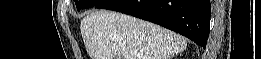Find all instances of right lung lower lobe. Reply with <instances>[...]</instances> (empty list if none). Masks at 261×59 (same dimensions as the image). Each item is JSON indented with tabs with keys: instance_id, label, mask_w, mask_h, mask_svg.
Returning a JSON list of instances; mask_svg holds the SVG:
<instances>
[{
	"instance_id": "obj_1",
	"label": "right lung lower lobe",
	"mask_w": 261,
	"mask_h": 59,
	"mask_svg": "<svg viewBox=\"0 0 261 59\" xmlns=\"http://www.w3.org/2000/svg\"><path fill=\"white\" fill-rule=\"evenodd\" d=\"M94 7L159 24L206 47L210 28V0H103Z\"/></svg>"
}]
</instances>
